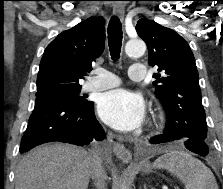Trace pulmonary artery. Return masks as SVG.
<instances>
[{"mask_svg": "<svg viewBox=\"0 0 223 189\" xmlns=\"http://www.w3.org/2000/svg\"><path fill=\"white\" fill-rule=\"evenodd\" d=\"M129 79L132 82H143L145 80L146 71L142 64H132L129 69ZM120 84L119 78L110 71L100 68L96 71V76L89 79L84 84L86 91H102Z\"/></svg>", "mask_w": 223, "mask_h": 189, "instance_id": "pulmonary-artery-1", "label": "pulmonary artery"}]
</instances>
